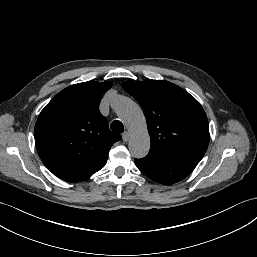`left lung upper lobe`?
I'll list each match as a JSON object with an SVG mask.
<instances>
[{
  "label": "left lung upper lobe",
  "mask_w": 257,
  "mask_h": 257,
  "mask_svg": "<svg viewBox=\"0 0 257 257\" xmlns=\"http://www.w3.org/2000/svg\"><path fill=\"white\" fill-rule=\"evenodd\" d=\"M122 87L143 108L151 147L144 159L198 163L209 144V124L200 103L164 80L125 81Z\"/></svg>",
  "instance_id": "obj_1"
}]
</instances>
